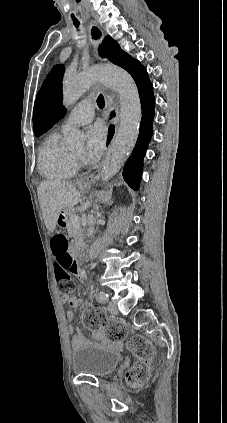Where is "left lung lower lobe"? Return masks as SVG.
I'll use <instances>...</instances> for the list:
<instances>
[{
  "label": "left lung lower lobe",
  "mask_w": 227,
  "mask_h": 423,
  "mask_svg": "<svg viewBox=\"0 0 227 423\" xmlns=\"http://www.w3.org/2000/svg\"><path fill=\"white\" fill-rule=\"evenodd\" d=\"M140 96L142 118L140 123V132L135 148L128 158L123 171V178L134 190H138L141 180L143 158L146 148L153 134L152 124L154 119L155 98L153 86L149 80L148 74L144 75L137 83ZM111 116H114L112 113Z\"/></svg>",
  "instance_id": "obj_1"
}]
</instances>
